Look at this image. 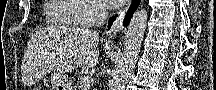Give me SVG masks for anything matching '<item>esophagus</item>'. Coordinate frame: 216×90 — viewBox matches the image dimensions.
<instances>
[{"label":"esophagus","mask_w":216,"mask_h":90,"mask_svg":"<svg viewBox=\"0 0 216 90\" xmlns=\"http://www.w3.org/2000/svg\"><path fill=\"white\" fill-rule=\"evenodd\" d=\"M129 3H130V2L126 3V5L123 6V7L120 9V12H125V11L127 10L128 6H129ZM122 22H123V17L121 16V17L118 18V19L115 21V23L113 24V26H112V28H111V30H110V32H109V38H110L111 40L117 38L118 33H119V31L121 30V27H122Z\"/></svg>","instance_id":"obj_1"}]
</instances>
